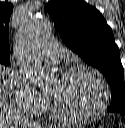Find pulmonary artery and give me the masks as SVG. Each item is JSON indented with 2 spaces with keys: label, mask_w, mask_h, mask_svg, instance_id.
<instances>
[{
  "label": "pulmonary artery",
  "mask_w": 125,
  "mask_h": 128,
  "mask_svg": "<svg viewBox=\"0 0 125 128\" xmlns=\"http://www.w3.org/2000/svg\"><path fill=\"white\" fill-rule=\"evenodd\" d=\"M65 54L64 48L56 43H46L41 47L40 57L50 63L59 62Z\"/></svg>",
  "instance_id": "1"
}]
</instances>
